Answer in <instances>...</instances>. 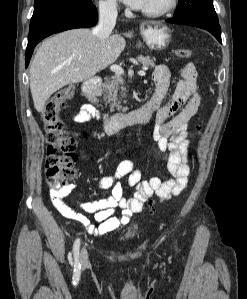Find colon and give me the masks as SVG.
<instances>
[{"mask_svg": "<svg viewBox=\"0 0 247 299\" xmlns=\"http://www.w3.org/2000/svg\"><path fill=\"white\" fill-rule=\"evenodd\" d=\"M177 58L191 57L190 49L174 51ZM74 95L73 87H65L50 97L43 106V128L47 146L46 176L48 184L54 188L62 187L76 175L74 163L76 160V143L68 137L59 118L61 106ZM201 129V124L197 125Z\"/></svg>", "mask_w": 247, "mask_h": 299, "instance_id": "1", "label": "colon"}]
</instances>
